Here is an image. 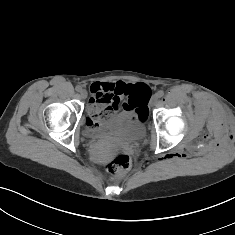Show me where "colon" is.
<instances>
[{
  "instance_id": "colon-1",
  "label": "colon",
  "mask_w": 235,
  "mask_h": 235,
  "mask_svg": "<svg viewBox=\"0 0 235 235\" xmlns=\"http://www.w3.org/2000/svg\"><path fill=\"white\" fill-rule=\"evenodd\" d=\"M150 89L145 84H137L130 87L126 100V107L131 111H137L143 118L147 116L146 99ZM112 118L109 109H103L97 114L87 118V123L91 126H98L108 122ZM131 166V160L124 151H117L107 163V170L113 180L123 177Z\"/></svg>"
}]
</instances>
